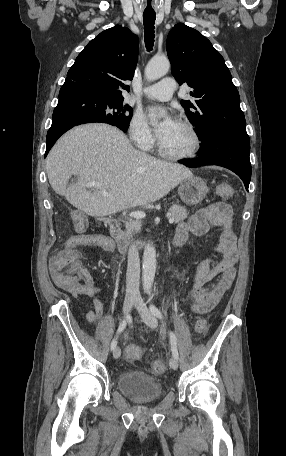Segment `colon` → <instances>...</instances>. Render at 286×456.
Masks as SVG:
<instances>
[{
  "label": "colon",
  "mask_w": 286,
  "mask_h": 456,
  "mask_svg": "<svg viewBox=\"0 0 286 456\" xmlns=\"http://www.w3.org/2000/svg\"><path fill=\"white\" fill-rule=\"evenodd\" d=\"M216 192L221 197H230L234 194V188L228 184H221L216 187ZM75 229L82 232L87 227V222L83 216L77 215L73 220ZM53 277L57 285L68 291L79 289L85 282L87 272L81 266L78 253L71 246H66L60 251L51 262ZM208 322L205 319H199L195 323L196 333L202 335L207 331ZM142 358V350L136 347L126 352V359L129 362H137ZM165 364L161 360L153 362V371L155 374L165 372Z\"/></svg>",
  "instance_id": "obj_1"
}]
</instances>
